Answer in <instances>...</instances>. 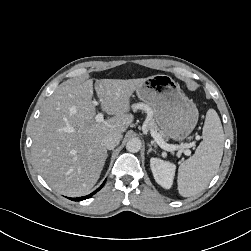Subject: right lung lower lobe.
<instances>
[{"label":"right lung lower lobe","instance_id":"obj_1","mask_svg":"<svg viewBox=\"0 0 251 251\" xmlns=\"http://www.w3.org/2000/svg\"><path fill=\"white\" fill-rule=\"evenodd\" d=\"M104 183H105V181L103 182V184L96 191H94L93 193H91V194H89L87 196L79 197V198H70V199L73 200V201L85 200V199L91 197L92 195H94L97 191H99L103 187Z\"/></svg>","mask_w":251,"mask_h":251}]
</instances>
